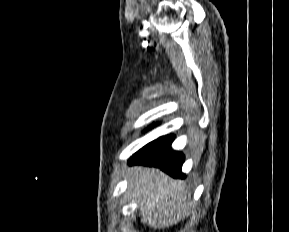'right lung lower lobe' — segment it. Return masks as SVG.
I'll return each mask as SVG.
<instances>
[{
    "label": "right lung lower lobe",
    "mask_w": 289,
    "mask_h": 232,
    "mask_svg": "<svg viewBox=\"0 0 289 232\" xmlns=\"http://www.w3.org/2000/svg\"><path fill=\"white\" fill-rule=\"evenodd\" d=\"M173 140L174 135H170L150 142L130 158L129 164L159 167L174 178H185L181 172L184 155L172 150Z\"/></svg>",
    "instance_id": "right-lung-lower-lobe-1"
}]
</instances>
